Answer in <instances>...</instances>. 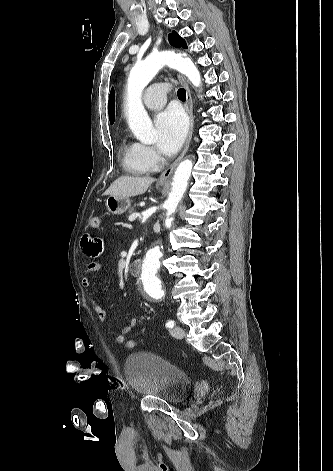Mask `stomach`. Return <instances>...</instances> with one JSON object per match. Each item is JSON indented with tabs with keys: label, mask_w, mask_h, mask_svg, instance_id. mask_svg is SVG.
<instances>
[{
	"label": "stomach",
	"mask_w": 333,
	"mask_h": 471,
	"mask_svg": "<svg viewBox=\"0 0 333 471\" xmlns=\"http://www.w3.org/2000/svg\"><path fill=\"white\" fill-rule=\"evenodd\" d=\"M164 185V184H160ZM131 205V201L128 197H118L109 195L106 199L107 210L114 215L123 214Z\"/></svg>",
	"instance_id": "1"
}]
</instances>
